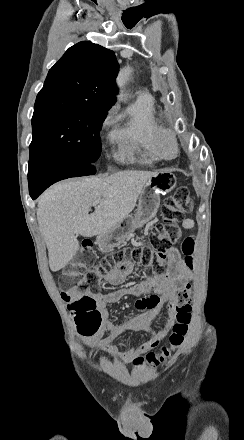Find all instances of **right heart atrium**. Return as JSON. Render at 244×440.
Returning <instances> with one entry per match:
<instances>
[{"instance_id": "d8ad5b80", "label": "right heart atrium", "mask_w": 244, "mask_h": 440, "mask_svg": "<svg viewBox=\"0 0 244 440\" xmlns=\"http://www.w3.org/2000/svg\"><path fill=\"white\" fill-rule=\"evenodd\" d=\"M116 111H117V107L115 105L112 106L108 110V112L105 114L104 118L102 119V124L101 125H102L103 128L110 127L115 122Z\"/></svg>"}]
</instances>
